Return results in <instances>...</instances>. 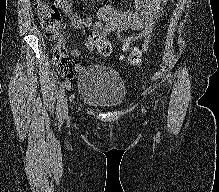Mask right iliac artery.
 Segmentation results:
<instances>
[{"instance_id":"82829eb1","label":"right iliac artery","mask_w":219,"mask_h":192,"mask_svg":"<svg viewBox=\"0 0 219 192\" xmlns=\"http://www.w3.org/2000/svg\"><path fill=\"white\" fill-rule=\"evenodd\" d=\"M70 87L69 82H64L60 85L58 92V101H57V116L58 118L63 117V108H64V95L65 90Z\"/></svg>"}]
</instances>
